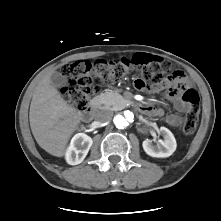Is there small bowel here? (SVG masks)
I'll use <instances>...</instances> for the list:
<instances>
[{
    "mask_svg": "<svg viewBox=\"0 0 221 221\" xmlns=\"http://www.w3.org/2000/svg\"><path fill=\"white\" fill-rule=\"evenodd\" d=\"M177 84L183 86H188L190 84L186 75L180 71H174L166 81L167 90L165 92V97L170 100L175 109L179 113H186L189 110L188 104L181 98V92L176 88ZM161 87H155L154 91L158 92ZM145 112L151 116L159 117L163 114L162 109L154 107H145ZM183 118L179 114H170L167 117V123L173 127H178L182 124Z\"/></svg>",
    "mask_w": 221,
    "mask_h": 221,
    "instance_id": "c3829d8e",
    "label": "small bowel"
}]
</instances>
